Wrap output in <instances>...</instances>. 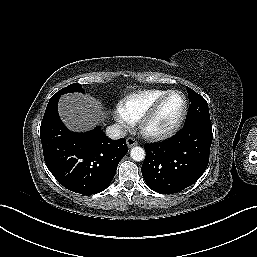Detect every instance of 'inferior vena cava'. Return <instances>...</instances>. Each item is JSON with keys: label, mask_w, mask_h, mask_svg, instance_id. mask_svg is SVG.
<instances>
[{"label": "inferior vena cava", "mask_w": 257, "mask_h": 257, "mask_svg": "<svg viewBox=\"0 0 257 257\" xmlns=\"http://www.w3.org/2000/svg\"><path fill=\"white\" fill-rule=\"evenodd\" d=\"M126 134L127 130L118 124H114L106 128V136L113 140L125 137Z\"/></svg>", "instance_id": "obj_1"}]
</instances>
